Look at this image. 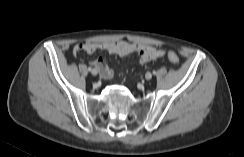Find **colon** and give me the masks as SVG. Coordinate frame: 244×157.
<instances>
[{
    "mask_svg": "<svg viewBox=\"0 0 244 157\" xmlns=\"http://www.w3.org/2000/svg\"><path fill=\"white\" fill-rule=\"evenodd\" d=\"M167 57L169 61L173 64H178L179 63V57L172 51L167 52ZM147 57L144 54H141L139 56L140 61H146Z\"/></svg>",
    "mask_w": 244,
    "mask_h": 157,
    "instance_id": "colon-1",
    "label": "colon"
}]
</instances>
